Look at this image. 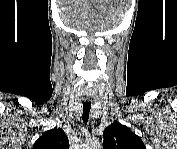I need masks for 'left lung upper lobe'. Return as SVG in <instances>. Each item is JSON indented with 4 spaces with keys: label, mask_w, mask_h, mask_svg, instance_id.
Returning <instances> with one entry per match:
<instances>
[{
    "label": "left lung upper lobe",
    "mask_w": 177,
    "mask_h": 149,
    "mask_svg": "<svg viewBox=\"0 0 177 149\" xmlns=\"http://www.w3.org/2000/svg\"><path fill=\"white\" fill-rule=\"evenodd\" d=\"M104 149H144L145 146L139 136L128 127L115 121L103 133Z\"/></svg>",
    "instance_id": "5c2ea615"
}]
</instances>
